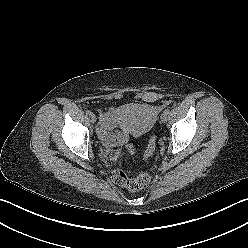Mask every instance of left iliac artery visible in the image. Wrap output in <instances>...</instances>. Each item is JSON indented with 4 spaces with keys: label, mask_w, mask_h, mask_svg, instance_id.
Instances as JSON below:
<instances>
[{
    "label": "left iliac artery",
    "mask_w": 248,
    "mask_h": 248,
    "mask_svg": "<svg viewBox=\"0 0 248 248\" xmlns=\"http://www.w3.org/2000/svg\"><path fill=\"white\" fill-rule=\"evenodd\" d=\"M165 111H168V113H170V110H169V109H167V110H165Z\"/></svg>",
    "instance_id": "left-iliac-artery-1"
}]
</instances>
